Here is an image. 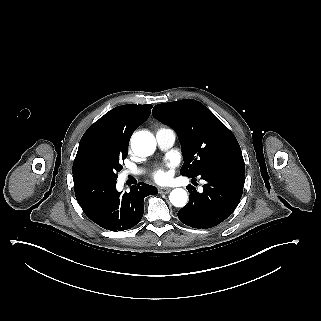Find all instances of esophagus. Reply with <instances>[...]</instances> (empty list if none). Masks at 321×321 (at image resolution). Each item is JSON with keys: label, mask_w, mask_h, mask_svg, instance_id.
Here are the masks:
<instances>
[{"label": "esophagus", "mask_w": 321, "mask_h": 321, "mask_svg": "<svg viewBox=\"0 0 321 321\" xmlns=\"http://www.w3.org/2000/svg\"><path fill=\"white\" fill-rule=\"evenodd\" d=\"M158 191L160 194H167L171 191V188L170 187H160Z\"/></svg>", "instance_id": "obj_1"}]
</instances>
